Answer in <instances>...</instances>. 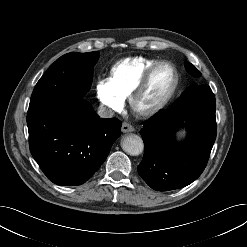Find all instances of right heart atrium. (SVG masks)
Listing matches in <instances>:
<instances>
[{
    "instance_id": "obj_1",
    "label": "right heart atrium",
    "mask_w": 247,
    "mask_h": 247,
    "mask_svg": "<svg viewBox=\"0 0 247 247\" xmlns=\"http://www.w3.org/2000/svg\"><path fill=\"white\" fill-rule=\"evenodd\" d=\"M96 93L106 112L120 111L123 108L125 99L116 92L109 78H102L98 81Z\"/></svg>"
}]
</instances>
